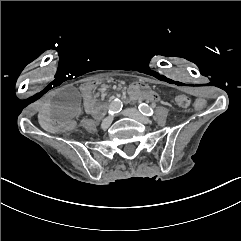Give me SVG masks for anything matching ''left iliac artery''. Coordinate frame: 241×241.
I'll use <instances>...</instances> for the list:
<instances>
[{
  "instance_id": "left-iliac-artery-1",
  "label": "left iliac artery",
  "mask_w": 241,
  "mask_h": 241,
  "mask_svg": "<svg viewBox=\"0 0 241 241\" xmlns=\"http://www.w3.org/2000/svg\"><path fill=\"white\" fill-rule=\"evenodd\" d=\"M139 111L146 116H152L154 114L153 109L145 103H142L138 107Z\"/></svg>"
}]
</instances>
